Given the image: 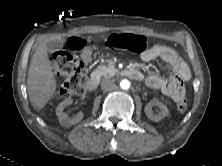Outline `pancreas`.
<instances>
[{"mask_svg":"<svg viewBox=\"0 0 222 166\" xmlns=\"http://www.w3.org/2000/svg\"><path fill=\"white\" fill-rule=\"evenodd\" d=\"M95 72L100 76H104L108 78V77L113 76L116 73V69L111 68L109 66L101 65L95 70Z\"/></svg>","mask_w":222,"mask_h":166,"instance_id":"obj_1","label":"pancreas"}]
</instances>
